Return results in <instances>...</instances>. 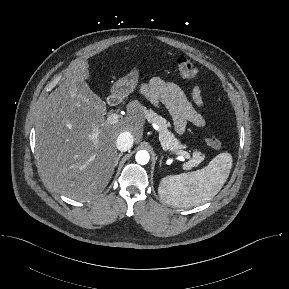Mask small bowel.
Returning a JSON list of instances; mask_svg holds the SVG:
<instances>
[{
  "instance_id": "1",
  "label": "small bowel",
  "mask_w": 289,
  "mask_h": 289,
  "mask_svg": "<svg viewBox=\"0 0 289 289\" xmlns=\"http://www.w3.org/2000/svg\"><path fill=\"white\" fill-rule=\"evenodd\" d=\"M142 93L153 104H163L167 108L172 117L174 128L178 133H183L188 124L200 128L206 125L205 118L195 109L176 83L154 77L142 87ZM191 96L193 103L198 108L204 106L202 91L199 86L192 89Z\"/></svg>"
}]
</instances>
